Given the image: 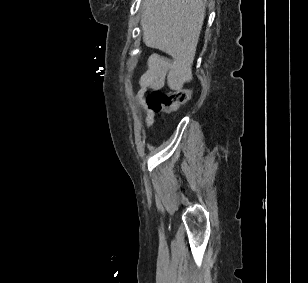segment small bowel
Masks as SVG:
<instances>
[{
	"mask_svg": "<svg viewBox=\"0 0 308 283\" xmlns=\"http://www.w3.org/2000/svg\"><path fill=\"white\" fill-rule=\"evenodd\" d=\"M190 74L188 67L176 62L175 60L156 56L152 57L148 62L147 70L140 76V90L137 97L140 105L146 111V126L149 127L153 123L154 111L149 109L145 94L148 90H160L164 87L167 78H185Z\"/></svg>",
	"mask_w": 308,
	"mask_h": 283,
	"instance_id": "1",
	"label": "small bowel"
}]
</instances>
